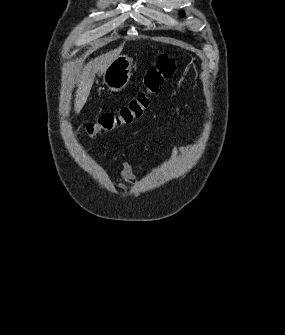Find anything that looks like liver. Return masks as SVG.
Here are the masks:
<instances>
[{"label": "liver", "mask_w": 285, "mask_h": 335, "mask_svg": "<svg viewBox=\"0 0 285 335\" xmlns=\"http://www.w3.org/2000/svg\"><path fill=\"white\" fill-rule=\"evenodd\" d=\"M120 50L121 48H116V50H112V52H107V54L98 56L93 62H88V64L84 66L82 72H79L76 80L77 92H75L76 96L74 98L75 114H80L83 106H85L90 90L94 84L95 74H97V72L103 74L108 66H110L111 62L115 60L116 56H119Z\"/></svg>", "instance_id": "1"}]
</instances>
